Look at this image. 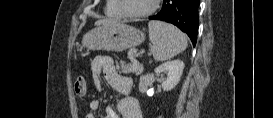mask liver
<instances>
[{"mask_svg": "<svg viewBox=\"0 0 273 118\" xmlns=\"http://www.w3.org/2000/svg\"><path fill=\"white\" fill-rule=\"evenodd\" d=\"M111 23H113V21L105 19V20H98L97 22H95V25L101 26V25H107Z\"/></svg>", "mask_w": 273, "mask_h": 118, "instance_id": "6515ba94", "label": "liver"}]
</instances>
